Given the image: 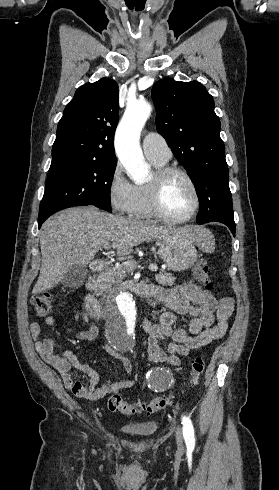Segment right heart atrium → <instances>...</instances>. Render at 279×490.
<instances>
[{
    "label": "right heart atrium",
    "instance_id": "d8ad5b80",
    "mask_svg": "<svg viewBox=\"0 0 279 490\" xmlns=\"http://www.w3.org/2000/svg\"><path fill=\"white\" fill-rule=\"evenodd\" d=\"M108 200L114 213L119 216L133 215L139 204L137 186L126 176L119 162H116L107 182Z\"/></svg>",
    "mask_w": 279,
    "mask_h": 490
}]
</instances>
